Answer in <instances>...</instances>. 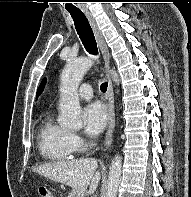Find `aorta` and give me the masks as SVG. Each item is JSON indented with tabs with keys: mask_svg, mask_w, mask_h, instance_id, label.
Listing matches in <instances>:
<instances>
[{
	"mask_svg": "<svg viewBox=\"0 0 191 197\" xmlns=\"http://www.w3.org/2000/svg\"><path fill=\"white\" fill-rule=\"evenodd\" d=\"M92 59L84 57L70 60L61 73L60 83V125L79 130L82 128L81 107L78 96V87L88 69L92 66ZM114 82L119 83L115 70L110 71ZM122 159L115 155L109 170L106 187V197H117L118 187L121 181Z\"/></svg>",
	"mask_w": 191,
	"mask_h": 197,
	"instance_id": "1",
	"label": "aorta"
}]
</instances>
